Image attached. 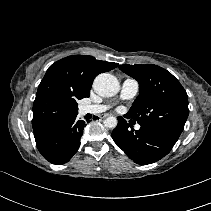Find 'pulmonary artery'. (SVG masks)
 Masks as SVG:
<instances>
[{"label":"pulmonary artery","instance_id":"pulmonary-artery-1","mask_svg":"<svg viewBox=\"0 0 211 211\" xmlns=\"http://www.w3.org/2000/svg\"><path fill=\"white\" fill-rule=\"evenodd\" d=\"M139 91V83L137 80L128 77L126 78L121 86L120 97L121 99H131ZM110 108L107 104H89L81 107L82 114H99ZM140 126L137 125L136 129H139Z\"/></svg>","mask_w":211,"mask_h":211}]
</instances>
